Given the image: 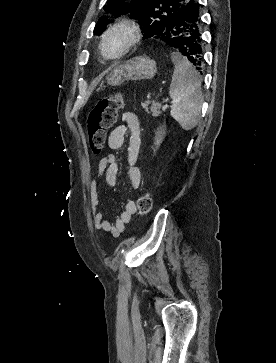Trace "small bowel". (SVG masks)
Returning <instances> with one entry per match:
<instances>
[{
	"instance_id": "1",
	"label": "small bowel",
	"mask_w": 276,
	"mask_h": 363,
	"mask_svg": "<svg viewBox=\"0 0 276 363\" xmlns=\"http://www.w3.org/2000/svg\"><path fill=\"white\" fill-rule=\"evenodd\" d=\"M122 123L116 126L108 136V146L112 150L122 148L127 131L130 132L127 173L134 188L141 185V173L136 164V160L141 147V127L138 117L132 112H124L121 116ZM99 177L90 183V206L95 227L98 230L107 232L118 237L125 230L126 225L131 221L136 212V204L132 199L124 202L121 213L112 223L105 219L103 211L100 209L99 186L100 177H104L105 183L110 187H115L119 175V164L117 157L109 154L99 162Z\"/></svg>"
}]
</instances>
